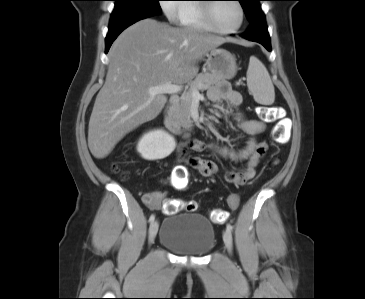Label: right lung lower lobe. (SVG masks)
<instances>
[{
    "instance_id": "right-lung-lower-lobe-1",
    "label": "right lung lower lobe",
    "mask_w": 365,
    "mask_h": 299,
    "mask_svg": "<svg viewBox=\"0 0 365 299\" xmlns=\"http://www.w3.org/2000/svg\"><path fill=\"white\" fill-rule=\"evenodd\" d=\"M157 14H131L122 18L110 20V26L108 30V34L106 36V53L110 49L113 41L117 38V36L127 27L134 24L135 22L154 16Z\"/></svg>"
}]
</instances>
